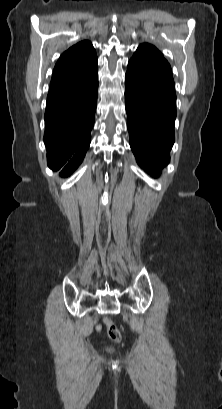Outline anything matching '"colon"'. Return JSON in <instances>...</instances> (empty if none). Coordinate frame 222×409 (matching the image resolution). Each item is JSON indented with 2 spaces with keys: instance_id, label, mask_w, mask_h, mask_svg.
<instances>
[{
  "instance_id": "obj_1",
  "label": "colon",
  "mask_w": 222,
  "mask_h": 409,
  "mask_svg": "<svg viewBox=\"0 0 222 409\" xmlns=\"http://www.w3.org/2000/svg\"><path fill=\"white\" fill-rule=\"evenodd\" d=\"M106 322L108 324V333H109L110 339L117 343L121 342L122 336L117 326L111 323L108 319H106Z\"/></svg>"
}]
</instances>
